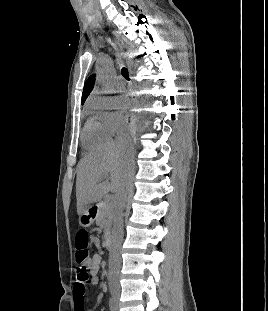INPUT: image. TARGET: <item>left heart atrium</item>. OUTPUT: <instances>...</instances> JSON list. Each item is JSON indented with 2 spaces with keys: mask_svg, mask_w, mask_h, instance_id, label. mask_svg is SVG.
Returning <instances> with one entry per match:
<instances>
[{
  "mask_svg": "<svg viewBox=\"0 0 268 311\" xmlns=\"http://www.w3.org/2000/svg\"><path fill=\"white\" fill-rule=\"evenodd\" d=\"M115 105L116 107L120 109H126L130 106V101L125 97H118L115 99Z\"/></svg>",
  "mask_w": 268,
  "mask_h": 311,
  "instance_id": "left-heart-atrium-1",
  "label": "left heart atrium"
}]
</instances>
